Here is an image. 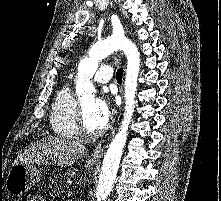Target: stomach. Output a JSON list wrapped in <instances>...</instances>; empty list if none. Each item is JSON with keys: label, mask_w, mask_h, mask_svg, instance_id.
<instances>
[{"label": "stomach", "mask_w": 221, "mask_h": 201, "mask_svg": "<svg viewBox=\"0 0 221 201\" xmlns=\"http://www.w3.org/2000/svg\"><path fill=\"white\" fill-rule=\"evenodd\" d=\"M96 164L87 162L88 170L95 168ZM41 174L38 168L30 163H14L8 172L6 190L13 196H19L27 192L40 181Z\"/></svg>", "instance_id": "1"}]
</instances>
